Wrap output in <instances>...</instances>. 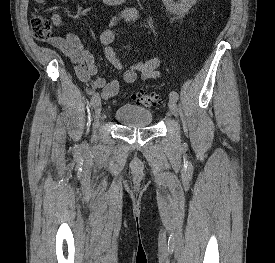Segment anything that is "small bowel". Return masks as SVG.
<instances>
[{"label":"small bowel","instance_id":"c3829d8e","mask_svg":"<svg viewBox=\"0 0 275 263\" xmlns=\"http://www.w3.org/2000/svg\"><path fill=\"white\" fill-rule=\"evenodd\" d=\"M141 18L142 14L138 10L123 9L112 17L108 27L101 32L99 37L104 56L115 69L121 71L122 80L128 84L136 82L139 78L148 80L160 76V58L154 57L146 61L132 63L125 68L113 47L115 39L113 27L120 22H139ZM53 22L57 26L61 23L57 16L53 17ZM50 44L74 63L76 75L81 82L87 85L89 93L100 90V96L104 100L114 98L118 94L120 81L118 79L107 81L103 77L96 76L98 69L93 54L86 49L84 43L76 34L68 33L64 37H53L50 39Z\"/></svg>","mask_w":275,"mask_h":263}]
</instances>
